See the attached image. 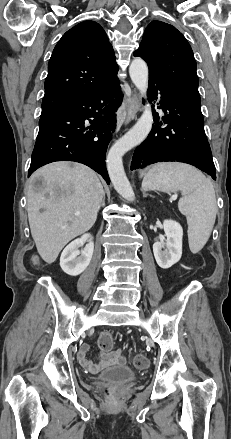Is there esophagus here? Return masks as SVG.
Returning <instances> with one entry per match:
<instances>
[{
  "instance_id": "34e87169",
  "label": "esophagus",
  "mask_w": 231,
  "mask_h": 439,
  "mask_svg": "<svg viewBox=\"0 0 231 439\" xmlns=\"http://www.w3.org/2000/svg\"><path fill=\"white\" fill-rule=\"evenodd\" d=\"M128 102V111H127V120L126 122H129L130 120L134 119L136 116L137 111L140 108V102H139V96L138 94H134L132 97L127 99Z\"/></svg>"
}]
</instances>
